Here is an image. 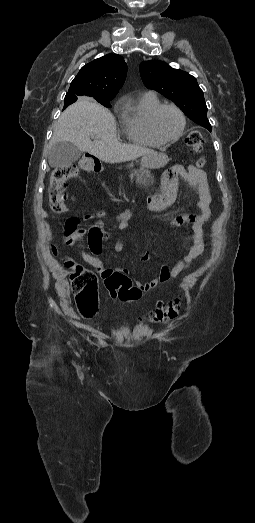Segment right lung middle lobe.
Wrapping results in <instances>:
<instances>
[{"label":"right lung middle lobe","instance_id":"dd1d6c3e","mask_svg":"<svg viewBox=\"0 0 255 523\" xmlns=\"http://www.w3.org/2000/svg\"><path fill=\"white\" fill-rule=\"evenodd\" d=\"M110 101L111 100H104V101H97V102L102 104L105 107H111Z\"/></svg>","mask_w":255,"mask_h":523}]
</instances>
